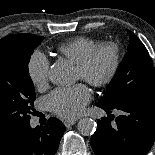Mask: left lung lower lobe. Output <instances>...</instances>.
Masks as SVG:
<instances>
[{
	"instance_id": "0a47b994",
	"label": "left lung lower lobe",
	"mask_w": 155,
	"mask_h": 155,
	"mask_svg": "<svg viewBox=\"0 0 155 155\" xmlns=\"http://www.w3.org/2000/svg\"><path fill=\"white\" fill-rule=\"evenodd\" d=\"M106 112L124 111L116 123L103 117L92 136L95 155H145L155 141V89L139 91L114 105L98 103Z\"/></svg>"
}]
</instances>
